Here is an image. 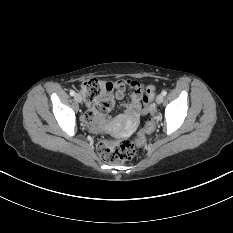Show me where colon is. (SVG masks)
<instances>
[{
    "mask_svg": "<svg viewBox=\"0 0 233 233\" xmlns=\"http://www.w3.org/2000/svg\"><path fill=\"white\" fill-rule=\"evenodd\" d=\"M114 89L112 82L100 79H88L82 84V93L87 100L101 101L100 112L106 113L112 106L111 93ZM155 94V86L146 88L143 101L146 110ZM155 129L154 119H149L144 128L139 131L138 137L132 140L105 139L99 142L97 151L99 156L107 163L121 164L130 161L136 155V146H142L146 141V135Z\"/></svg>",
    "mask_w": 233,
    "mask_h": 233,
    "instance_id": "1",
    "label": "colon"
}]
</instances>
